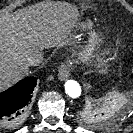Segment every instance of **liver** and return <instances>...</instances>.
Masks as SVG:
<instances>
[{"label":"liver","instance_id":"6515ba94","mask_svg":"<svg viewBox=\"0 0 133 133\" xmlns=\"http://www.w3.org/2000/svg\"><path fill=\"white\" fill-rule=\"evenodd\" d=\"M76 21L69 4L42 2L13 14L0 11V91L29 73L30 56L63 44Z\"/></svg>","mask_w":133,"mask_h":133}]
</instances>
